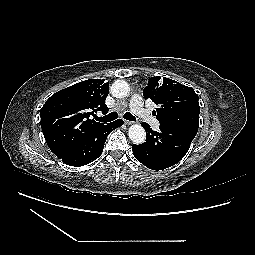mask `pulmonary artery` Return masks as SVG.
<instances>
[{"label":"pulmonary artery","mask_w":255,"mask_h":255,"mask_svg":"<svg viewBox=\"0 0 255 255\" xmlns=\"http://www.w3.org/2000/svg\"><path fill=\"white\" fill-rule=\"evenodd\" d=\"M129 107L136 116L149 122L154 129L159 127L158 121L151 116L150 112L146 108H144L143 98L140 94L135 93L131 95L129 99Z\"/></svg>","instance_id":"obj_1"}]
</instances>
